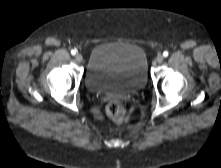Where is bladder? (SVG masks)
Returning <instances> with one entry per match:
<instances>
[{
	"label": "bladder",
	"instance_id": "obj_1",
	"mask_svg": "<svg viewBox=\"0 0 221 168\" xmlns=\"http://www.w3.org/2000/svg\"><path fill=\"white\" fill-rule=\"evenodd\" d=\"M147 81L148 61L141 46L103 43L92 49L85 74L89 91L124 96L141 90Z\"/></svg>",
	"mask_w": 221,
	"mask_h": 168
}]
</instances>
